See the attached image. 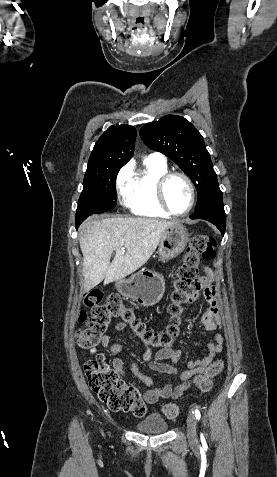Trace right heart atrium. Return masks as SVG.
I'll list each match as a JSON object with an SVG mask.
<instances>
[{
	"instance_id": "d8ad5b80",
	"label": "right heart atrium",
	"mask_w": 277,
	"mask_h": 477,
	"mask_svg": "<svg viewBox=\"0 0 277 477\" xmlns=\"http://www.w3.org/2000/svg\"><path fill=\"white\" fill-rule=\"evenodd\" d=\"M131 182V168L129 165H125L120 169L116 177V186L120 197L123 201H126L129 187Z\"/></svg>"
}]
</instances>
